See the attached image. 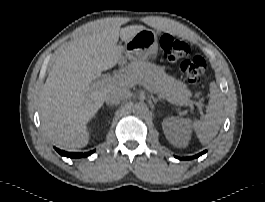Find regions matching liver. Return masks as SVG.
Listing matches in <instances>:
<instances>
[{
  "label": "liver",
  "mask_w": 265,
  "mask_h": 202,
  "mask_svg": "<svg viewBox=\"0 0 265 202\" xmlns=\"http://www.w3.org/2000/svg\"><path fill=\"white\" fill-rule=\"evenodd\" d=\"M143 29L142 25L120 28L109 20H97L58 52L40 93L41 126L58 147L74 151L88 144L87 124L103 105L108 90L117 86H94L92 82L122 58L119 37L126 43Z\"/></svg>",
  "instance_id": "liver-1"
}]
</instances>
